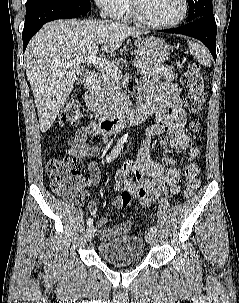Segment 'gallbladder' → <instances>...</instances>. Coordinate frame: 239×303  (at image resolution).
Returning <instances> with one entry per match:
<instances>
[{"label": "gallbladder", "mask_w": 239, "mask_h": 303, "mask_svg": "<svg viewBox=\"0 0 239 303\" xmlns=\"http://www.w3.org/2000/svg\"><path fill=\"white\" fill-rule=\"evenodd\" d=\"M84 80V76L80 75L78 78H77V83H82Z\"/></svg>", "instance_id": "bac80fb5"}]
</instances>
